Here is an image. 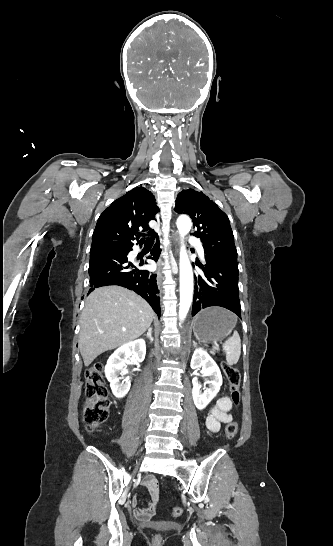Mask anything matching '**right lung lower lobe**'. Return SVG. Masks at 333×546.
<instances>
[{
    "mask_svg": "<svg viewBox=\"0 0 333 546\" xmlns=\"http://www.w3.org/2000/svg\"><path fill=\"white\" fill-rule=\"evenodd\" d=\"M158 241V236L154 235ZM133 245H109L96 247L90 250L89 275L90 290L95 288L120 285L135 291L142 296L160 317V298L158 297V287L156 275L147 270H141L138 267L146 262L144 260L131 262L127 255L132 250ZM148 258L158 260L160 249L158 243L155 244Z\"/></svg>",
    "mask_w": 333,
    "mask_h": 546,
    "instance_id": "1",
    "label": "right lung lower lobe"
}]
</instances>
